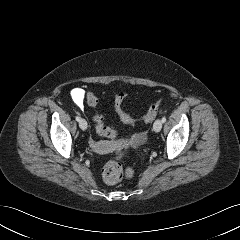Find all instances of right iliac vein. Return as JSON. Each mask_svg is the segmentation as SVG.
I'll list each match as a JSON object with an SVG mask.
<instances>
[{"label": "right iliac vein", "instance_id": "obj_1", "mask_svg": "<svg viewBox=\"0 0 240 240\" xmlns=\"http://www.w3.org/2000/svg\"><path fill=\"white\" fill-rule=\"evenodd\" d=\"M79 127L82 129V130H86L87 129V122L85 119H80L79 121Z\"/></svg>", "mask_w": 240, "mask_h": 240}]
</instances>
